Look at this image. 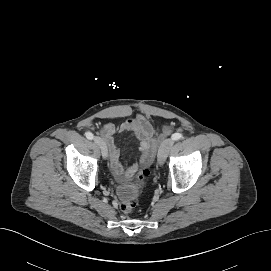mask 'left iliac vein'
Instances as JSON below:
<instances>
[{
	"mask_svg": "<svg viewBox=\"0 0 271 271\" xmlns=\"http://www.w3.org/2000/svg\"><path fill=\"white\" fill-rule=\"evenodd\" d=\"M174 144V140L166 139L164 140L158 150V164L162 166L168 156L170 149Z\"/></svg>",
	"mask_w": 271,
	"mask_h": 271,
	"instance_id": "1",
	"label": "left iliac vein"
}]
</instances>
